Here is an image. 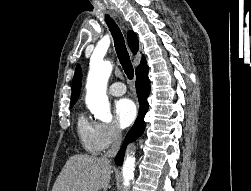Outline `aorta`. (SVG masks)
<instances>
[{"label": "aorta", "instance_id": "aorta-1", "mask_svg": "<svg viewBox=\"0 0 251 191\" xmlns=\"http://www.w3.org/2000/svg\"><path fill=\"white\" fill-rule=\"evenodd\" d=\"M103 56L92 54L90 60V70L86 84V97L88 109L94 117L101 121H111L112 113L110 103L106 96V86L112 72L111 62H103ZM135 157L127 155L123 163V185L129 187L131 179L134 177Z\"/></svg>", "mask_w": 251, "mask_h": 191}]
</instances>
